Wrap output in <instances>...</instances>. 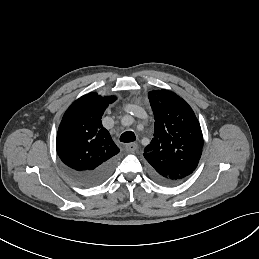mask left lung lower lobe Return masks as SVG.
Returning a JSON list of instances; mask_svg holds the SVG:
<instances>
[{"instance_id": "obj_1", "label": "left lung lower lobe", "mask_w": 259, "mask_h": 259, "mask_svg": "<svg viewBox=\"0 0 259 259\" xmlns=\"http://www.w3.org/2000/svg\"><path fill=\"white\" fill-rule=\"evenodd\" d=\"M152 177H153V179H155L157 182H159V183H161V184H164V185H173V184H175V183H178V182L166 181V180H164V179H162V178H160V177H158V176H156V175H154V174H152Z\"/></svg>"}]
</instances>
